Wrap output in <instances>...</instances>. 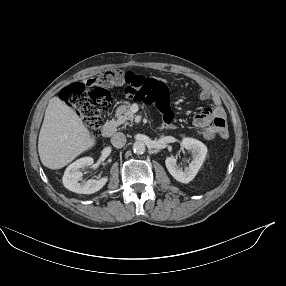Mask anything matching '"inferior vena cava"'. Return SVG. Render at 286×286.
Returning a JSON list of instances; mask_svg holds the SVG:
<instances>
[{"label": "inferior vena cava", "mask_w": 286, "mask_h": 286, "mask_svg": "<svg viewBox=\"0 0 286 286\" xmlns=\"http://www.w3.org/2000/svg\"><path fill=\"white\" fill-rule=\"evenodd\" d=\"M111 143L116 148H122L126 144V136L121 132H117L112 136Z\"/></svg>", "instance_id": "602c4592"}]
</instances>
